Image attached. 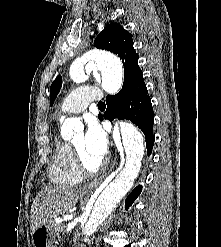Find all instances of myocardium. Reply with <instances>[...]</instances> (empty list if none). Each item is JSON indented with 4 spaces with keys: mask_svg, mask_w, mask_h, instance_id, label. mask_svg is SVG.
<instances>
[{
    "mask_svg": "<svg viewBox=\"0 0 221 247\" xmlns=\"http://www.w3.org/2000/svg\"><path fill=\"white\" fill-rule=\"evenodd\" d=\"M70 147L73 152L78 169L80 170L82 174H85L88 176L95 175L105 166L106 164L105 159H100L96 165L89 166L84 160V158L82 157V155L80 154V152L78 151V149L75 147L73 142L70 144Z\"/></svg>",
    "mask_w": 221,
    "mask_h": 247,
    "instance_id": "f54148a6",
    "label": "myocardium"
}]
</instances>
